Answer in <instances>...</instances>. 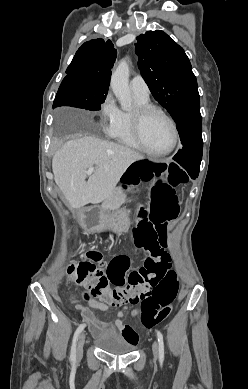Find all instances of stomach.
<instances>
[{
	"instance_id": "obj_1",
	"label": "stomach",
	"mask_w": 248,
	"mask_h": 389,
	"mask_svg": "<svg viewBox=\"0 0 248 389\" xmlns=\"http://www.w3.org/2000/svg\"><path fill=\"white\" fill-rule=\"evenodd\" d=\"M104 209L100 207H90L89 213L84 215L86 220H89L90 226H95V231L99 235H103L107 231H114L117 235H126L128 230L126 226L129 224L127 218H130V215L126 213L129 212V209L126 207H113L110 209L111 213H103ZM107 220V221H105ZM116 225V226H107V225Z\"/></svg>"
}]
</instances>
